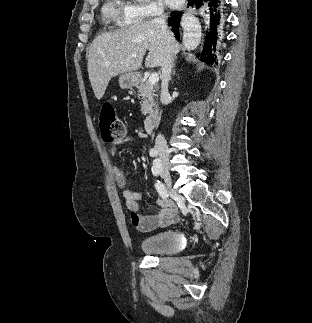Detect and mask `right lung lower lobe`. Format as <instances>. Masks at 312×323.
Masks as SVG:
<instances>
[{
	"label": "right lung lower lobe",
	"instance_id": "right-lung-lower-lobe-1",
	"mask_svg": "<svg viewBox=\"0 0 312 323\" xmlns=\"http://www.w3.org/2000/svg\"><path fill=\"white\" fill-rule=\"evenodd\" d=\"M219 0H188V7L200 10L206 15L207 22L202 24L205 26L204 33V46L200 56L201 60L213 64L216 60L217 43L220 42V36L223 27V13ZM183 19V12L174 11L168 18V23L171 30L174 32L176 39L179 40L181 31V22Z\"/></svg>",
	"mask_w": 312,
	"mask_h": 323
}]
</instances>
